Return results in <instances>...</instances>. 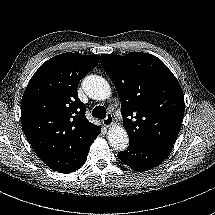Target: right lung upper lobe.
Wrapping results in <instances>:
<instances>
[{
	"label": "right lung upper lobe",
	"mask_w": 215,
	"mask_h": 215,
	"mask_svg": "<svg viewBox=\"0 0 215 215\" xmlns=\"http://www.w3.org/2000/svg\"><path fill=\"white\" fill-rule=\"evenodd\" d=\"M98 62L99 55L54 56L35 72L24 91V134L36 154L52 169L67 172L77 167L97 128L85 116L77 86Z\"/></svg>",
	"instance_id": "1"
}]
</instances>
